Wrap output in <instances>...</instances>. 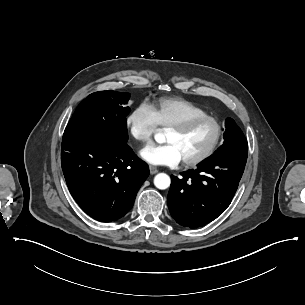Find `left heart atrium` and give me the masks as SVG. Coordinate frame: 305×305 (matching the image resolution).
Here are the masks:
<instances>
[{
    "instance_id": "39dd6f15",
    "label": "left heart atrium",
    "mask_w": 305,
    "mask_h": 305,
    "mask_svg": "<svg viewBox=\"0 0 305 305\" xmlns=\"http://www.w3.org/2000/svg\"><path fill=\"white\" fill-rule=\"evenodd\" d=\"M140 156L153 165H175L182 160L181 153L172 143L149 145L140 151Z\"/></svg>"
}]
</instances>
